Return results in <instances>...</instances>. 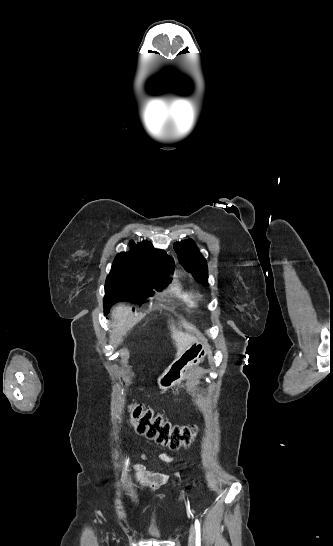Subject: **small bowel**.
<instances>
[{"label":"small bowel","mask_w":333,"mask_h":546,"mask_svg":"<svg viewBox=\"0 0 333 546\" xmlns=\"http://www.w3.org/2000/svg\"><path fill=\"white\" fill-rule=\"evenodd\" d=\"M160 460L164 462L177 463L181 459L177 456L171 455L167 452H161L157 456ZM143 459H146L145 454L142 455ZM133 472L137 478L140 490V498H144L146 492H158L159 497L163 498L164 494L160 492L161 488L168 482L169 476L163 473H151L145 470L144 466L141 463H137ZM179 476V473L175 474Z\"/></svg>","instance_id":"small-bowel-1"}]
</instances>
